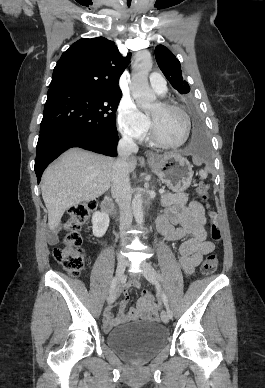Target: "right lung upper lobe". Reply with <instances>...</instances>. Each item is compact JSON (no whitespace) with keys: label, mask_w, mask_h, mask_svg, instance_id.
<instances>
[{"label":"right lung upper lobe","mask_w":265,"mask_h":388,"mask_svg":"<svg viewBox=\"0 0 265 388\" xmlns=\"http://www.w3.org/2000/svg\"><path fill=\"white\" fill-rule=\"evenodd\" d=\"M129 58L130 54L122 58L117 46L106 38L80 39L57 62L48 94L119 89V77Z\"/></svg>","instance_id":"1"}]
</instances>
